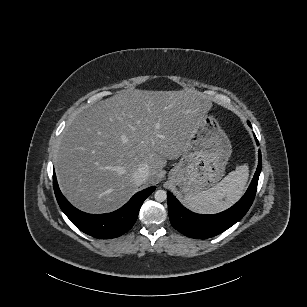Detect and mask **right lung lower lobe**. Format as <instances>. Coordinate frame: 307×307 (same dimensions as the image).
<instances>
[{
  "label": "right lung lower lobe",
  "mask_w": 307,
  "mask_h": 307,
  "mask_svg": "<svg viewBox=\"0 0 307 307\" xmlns=\"http://www.w3.org/2000/svg\"><path fill=\"white\" fill-rule=\"evenodd\" d=\"M53 186L56 199L70 221L84 233L95 238L109 239L118 237L134 225L144 200L155 190V186L136 193L120 209L101 215L87 214L73 207L62 195L53 173Z\"/></svg>",
  "instance_id": "obj_1"
}]
</instances>
